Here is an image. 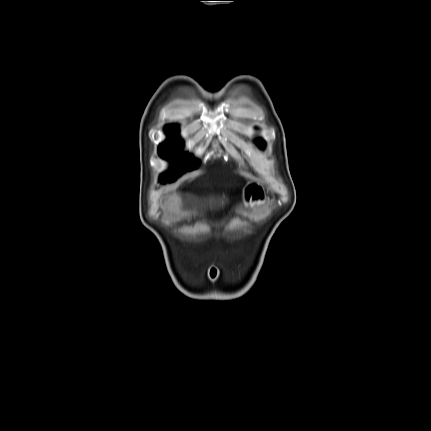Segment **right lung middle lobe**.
I'll use <instances>...</instances> for the list:
<instances>
[{
	"label": "right lung middle lobe",
	"instance_id": "1",
	"mask_svg": "<svg viewBox=\"0 0 431 431\" xmlns=\"http://www.w3.org/2000/svg\"><path fill=\"white\" fill-rule=\"evenodd\" d=\"M168 132L171 135L176 134V130H168ZM160 155L164 158H173L180 152L179 142L173 138L171 140H168L160 145L159 148ZM198 167V164H192L191 159L188 156H185L180 159V161L176 164L177 173H174L172 176V179L170 181H173L177 178L178 175L183 173L186 170H194Z\"/></svg>",
	"mask_w": 431,
	"mask_h": 431
}]
</instances>
